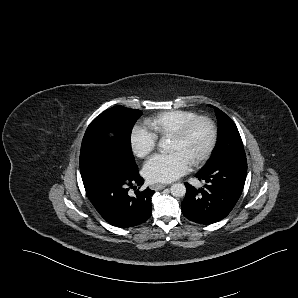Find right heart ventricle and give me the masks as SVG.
Listing matches in <instances>:
<instances>
[{"mask_svg":"<svg viewBox=\"0 0 298 298\" xmlns=\"http://www.w3.org/2000/svg\"><path fill=\"white\" fill-rule=\"evenodd\" d=\"M198 116V113L194 111L177 109L160 112L153 117L146 118L144 122L156 137L163 138L180 124L188 122Z\"/></svg>","mask_w":298,"mask_h":298,"instance_id":"e07e8e85","label":"right heart ventricle"}]
</instances>
